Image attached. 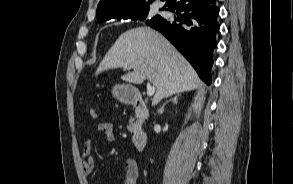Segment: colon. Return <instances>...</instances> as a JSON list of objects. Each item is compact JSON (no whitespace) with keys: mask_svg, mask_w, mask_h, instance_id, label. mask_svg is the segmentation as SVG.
Listing matches in <instances>:
<instances>
[{"mask_svg":"<svg viewBox=\"0 0 293 184\" xmlns=\"http://www.w3.org/2000/svg\"><path fill=\"white\" fill-rule=\"evenodd\" d=\"M89 112H90V115H91L92 118H96L97 113H96V111H95L94 108H90V111Z\"/></svg>","mask_w":293,"mask_h":184,"instance_id":"5ec220e1","label":"colon"}]
</instances>
